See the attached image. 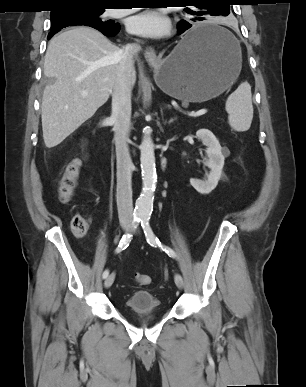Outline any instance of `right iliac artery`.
Wrapping results in <instances>:
<instances>
[{
  "label": "right iliac artery",
  "instance_id": "1",
  "mask_svg": "<svg viewBox=\"0 0 306 387\" xmlns=\"http://www.w3.org/2000/svg\"><path fill=\"white\" fill-rule=\"evenodd\" d=\"M139 222H140V218H136V219H134L133 225L136 226ZM131 239H132V234H131V232H128V233L124 234V235L122 236V238H121V240H120V243H119V245L117 246L115 252H116V253H120L121 251L125 250V249L128 247V245H129ZM108 275H109V271H108V270H105V271L103 272V275H102V276H103V278L105 279V278L108 277Z\"/></svg>",
  "mask_w": 306,
  "mask_h": 387
}]
</instances>
